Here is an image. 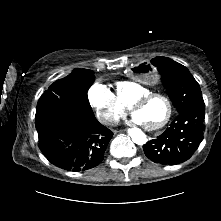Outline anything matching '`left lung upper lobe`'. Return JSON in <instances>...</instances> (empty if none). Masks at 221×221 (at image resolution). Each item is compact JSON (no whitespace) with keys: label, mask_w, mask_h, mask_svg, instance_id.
<instances>
[{"label":"left lung upper lobe","mask_w":221,"mask_h":221,"mask_svg":"<svg viewBox=\"0 0 221 221\" xmlns=\"http://www.w3.org/2000/svg\"><path fill=\"white\" fill-rule=\"evenodd\" d=\"M151 62L158 68L162 82L178 112L204 105L200 86L185 66L160 56Z\"/></svg>","instance_id":"1"}]
</instances>
